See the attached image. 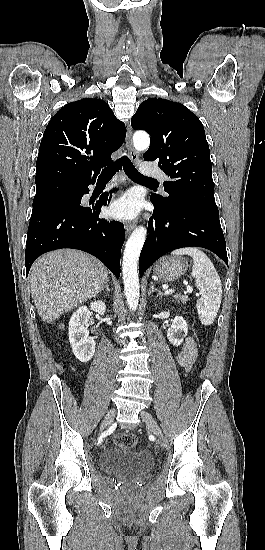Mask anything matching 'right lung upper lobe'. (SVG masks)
Returning a JSON list of instances; mask_svg holds the SVG:
<instances>
[{"label":"right lung upper lobe","mask_w":265,"mask_h":550,"mask_svg":"<svg viewBox=\"0 0 265 550\" xmlns=\"http://www.w3.org/2000/svg\"><path fill=\"white\" fill-rule=\"evenodd\" d=\"M126 136L125 125L101 99L85 98L60 109L48 123L36 162V188H72L94 180L112 163Z\"/></svg>","instance_id":"right-lung-upper-lobe-1"}]
</instances>
